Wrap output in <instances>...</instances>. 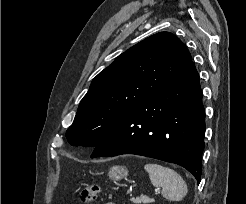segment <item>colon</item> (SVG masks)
I'll use <instances>...</instances> for the list:
<instances>
[{
    "label": "colon",
    "mask_w": 246,
    "mask_h": 204,
    "mask_svg": "<svg viewBox=\"0 0 246 204\" xmlns=\"http://www.w3.org/2000/svg\"><path fill=\"white\" fill-rule=\"evenodd\" d=\"M98 191L99 187L97 185L84 187L80 192V201L83 204H90L95 200Z\"/></svg>",
    "instance_id": "obj_1"
}]
</instances>
